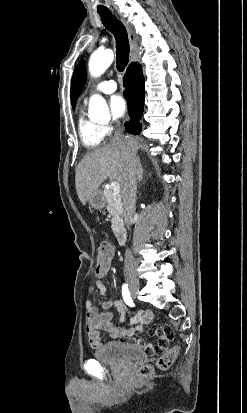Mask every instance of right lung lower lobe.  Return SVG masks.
Returning <instances> with one entry per match:
<instances>
[{"label":"right lung lower lobe","mask_w":247,"mask_h":413,"mask_svg":"<svg viewBox=\"0 0 247 413\" xmlns=\"http://www.w3.org/2000/svg\"><path fill=\"white\" fill-rule=\"evenodd\" d=\"M124 86L128 89L124 92L127 99L128 112L131 120L125 123V129L131 134H140L141 124L139 120L143 112L145 89H144V77L142 75V69L140 71L125 74Z\"/></svg>","instance_id":"right-lung-lower-lobe-1"}]
</instances>
